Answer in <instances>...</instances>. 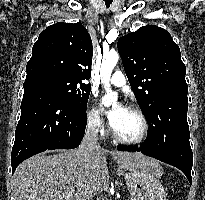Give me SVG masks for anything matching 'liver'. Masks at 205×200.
<instances>
[{
  "label": "liver",
  "mask_w": 205,
  "mask_h": 200,
  "mask_svg": "<svg viewBox=\"0 0 205 200\" xmlns=\"http://www.w3.org/2000/svg\"><path fill=\"white\" fill-rule=\"evenodd\" d=\"M119 169H147L160 173L158 162L141 153L108 151L103 148L82 155L77 150L55 155L38 154L23 161L12 181L14 200H93L109 185L105 155ZM70 194V197L67 195Z\"/></svg>",
  "instance_id": "liver-1"
}]
</instances>
